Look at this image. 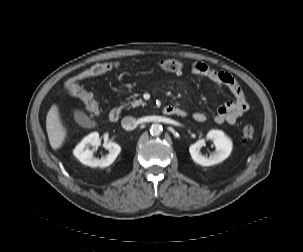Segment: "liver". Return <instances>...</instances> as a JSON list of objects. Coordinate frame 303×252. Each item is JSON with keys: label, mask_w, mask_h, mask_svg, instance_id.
Returning <instances> with one entry per match:
<instances>
[{"label": "liver", "mask_w": 303, "mask_h": 252, "mask_svg": "<svg viewBox=\"0 0 303 252\" xmlns=\"http://www.w3.org/2000/svg\"><path fill=\"white\" fill-rule=\"evenodd\" d=\"M46 129L51 147L59 149L65 141L67 130L60 118L59 110L56 105L52 106L46 118Z\"/></svg>", "instance_id": "6515ba94"}]
</instances>
